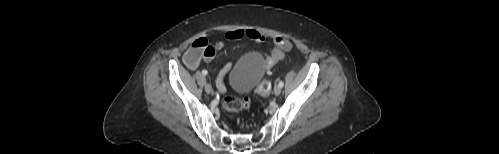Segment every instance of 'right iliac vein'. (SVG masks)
<instances>
[{"label": "right iliac vein", "instance_id": "right-iliac-vein-1", "mask_svg": "<svg viewBox=\"0 0 499 154\" xmlns=\"http://www.w3.org/2000/svg\"><path fill=\"white\" fill-rule=\"evenodd\" d=\"M205 91H206L208 94H210V93L212 92V87H211V85H210L209 83H207V84L205 85Z\"/></svg>", "mask_w": 499, "mask_h": 154}]
</instances>
